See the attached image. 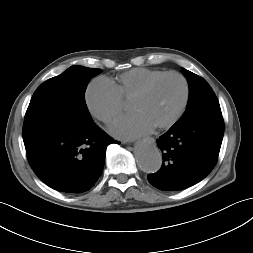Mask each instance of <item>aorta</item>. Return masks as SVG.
Instances as JSON below:
<instances>
[{
  "label": "aorta",
  "instance_id": "762f6f07",
  "mask_svg": "<svg viewBox=\"0 0 253 253\" xmlns=\"http://www.w3.org/2000/svg\"><path fill=\"white\" fill-rule=\"evenodd\" d=\"M135 158L139 168L146 173H156L162 165L161 152L153 140L147 139L135 146Z\"/></svg>",
  "mask_w": 253,
  "mask_h": 253
}]
</instances>
